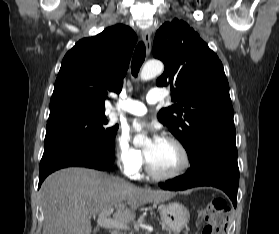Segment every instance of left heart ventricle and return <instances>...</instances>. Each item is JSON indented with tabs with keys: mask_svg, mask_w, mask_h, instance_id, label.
<instances>
[{
	"mask_svg": "<svg viewBox=\"0 0 279 234\" xmlns=\"http://www.w3.org/2000/svg\"><path fill=\"white\" fill-rule=\"evenodd\" d=\"M145 151L152 168L161 174H169L176 171L182 161L178 148L163 139L154 146L151 145L150 141L147 142Z\"/></svg>",
	"mask_w": 279,
	"mask_h": 234,
	"instance_id": "left-heart-ventricle-1",
	"label": "left heart ventricle"
}]
</instances>
